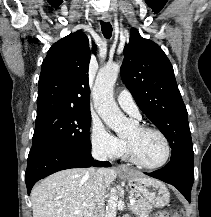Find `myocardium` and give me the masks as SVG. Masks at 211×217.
<instances>
[{"instance_id": "myocardium-1", "label": "myocardium", "mask_w": 211, "mask_h": 217, "mask_svg": "<svg viewBox=\"0 0 211 217\" xmlns=\"http://www.w3.org/2000/svg\"><path fill=\"white\" fill-rule=\"evenodd\" d=\"M141 131L143 132H155L157 133L164 141L165 143V147H166V154H165V157L164 159L158 163V164H155V165H149V164H146L144 163L136 154L132 144L127 141V153H128V157L129 159L136 165L144 168V169H150V170H154V169H159L163 166H165L170 157H171V145H170V142L167 138V136L158 128L156 127H152V126H146V125H141L138 127Z\"/></svg>"}]
</instances>
